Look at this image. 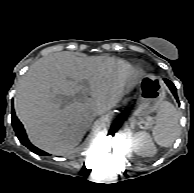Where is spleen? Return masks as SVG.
Segmentation results:
<instances>
[{"instance_id": "3e777b00", "label": "spleen", "mask_w": 194, "mask_h": 193, "mask_svg": "<svg viewBox=\"0 0 194 193\" xmlns=\"http://www.w3.org/2000/svg\"><path fill=\"white\" fill-rule=\"evenodd\" d=\"M180 113L168 101H163L156 117V125L153 128V137L156 143L162 147H170L177 139Z\"/></svg>"}]
</instances>
